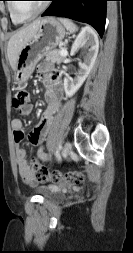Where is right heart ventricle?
I'll use <instances>...</instances> for the list:
<instances>
[{"mask_svg":"<svg viewBox=\"0 0 133 253\" xmlns=\"http://www.w3.org/2000/svg\"><path fill=\"white\" fill-rule=\"evenodd\" d=\"M7 10L9 12V15H10V18H11V21L13 24L17 25L19 24L16 20H14V18L12 17L11 13H10V10H9V4L7 5Z\"/></svg>","mask_w":133,"mask_h":253,"instance_id":"e07e8e85","label":"right heart ventricle"}]
</instances>
